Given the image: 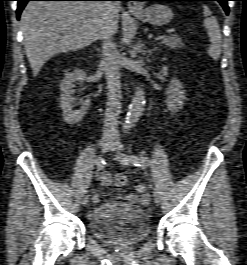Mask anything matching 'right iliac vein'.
<instances>
[{
  "label": "right iliac vein",
  "mask_w": 247,
  "mask_h": 265,
  "mask_svg": "<svg viewBox=\"0 0 247 265\" xmlns=\"http://www.w3.org/2000/svg\"><path fill=\"white\" fill-rule=\"evenodd\" d=\"M114 145V140L110 137H105L102 139L101 141V146H102V151L104 153L108 152L109 150L112 149ZM88 196H84L83 199H82V205L85 206L88 204Z\"/></svg>",
  "instance_id": "63e3f726"
}]
</instances>
